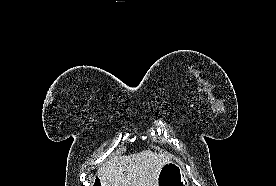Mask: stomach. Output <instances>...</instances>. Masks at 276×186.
<instances>
[{
	"instance_id": "0dacf381",
	"label": "stomach",
	"mask_w": 276,
	"mask_h": 186,
	"mask_svg": "<svg viewBox=\"0 0 276 186\" xmlns=\"http://www.w3.org/2000/svg\"><path fill=\"white\" fill-rule=\"evenodd\" d=\"M157 186H188V179L181 166L170 161L161 167Z\"/></svg>"
}]
</instances>
